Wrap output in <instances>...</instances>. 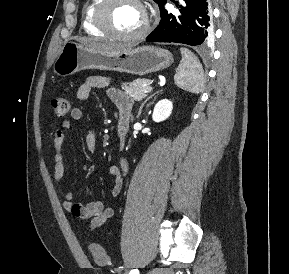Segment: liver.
I'll return each mask as SVG.
<instances>
[{"label": "liver", "mask_w": 289, "mask_h": 274, "mask_svg": "<svg viewBox=\"0 0 289 274\" xmlns=\"http://www.w3.org/2000/svg\"><path fill=\"white\" fill-rule=\"evenodd\" d=\"M84 45L100 50V51H105V52H119L123 50L129 49V47L121 46V45H116L112 43H104V42H91V41H84Z\"/></svg>", "instance_id": "obj_1"}]
</instances>
